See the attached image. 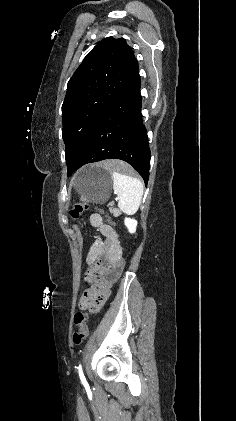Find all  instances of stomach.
Listing matches in <instances>:
<instances>
[{"label": "stomach", "instance_id": "0dacf381", "mask_svg": "<svg viewBox=\"0 0 236 421\" xmlns=\"http://www.w3.org/2000/svg\"><path fill=\"white\" fill-rule=\"evenodd\" d=\"M112 180L113 176L109 170L98 164H88L77 172L75 188L81 200L102 204L111 196Z\"/></svg>", "mask_w": 236, "mask_h": 421}]
</instances>
